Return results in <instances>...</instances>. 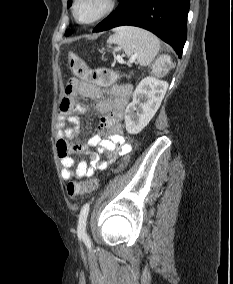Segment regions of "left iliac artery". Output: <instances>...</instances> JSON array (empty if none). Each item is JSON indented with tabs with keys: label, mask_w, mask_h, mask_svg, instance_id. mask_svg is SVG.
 Returning <instances> with one entry per match:
<instances>
[{
	"label": "left iliac artery",
	"mask_w": 233,
	"mask_h": 284,
	"mask_svg": "<svg viewBox=\"0 0 233 284\" xmlns=\"http://www.w3.org/2000/svg\"><path fill=\"white\" fill-rule=\"evenodd\" d=\"M89 208H90L89 203L84 204L83 207L81 208L78 220V227H77L78 237L82 238L86 244H90L89 237L86 234V222H87Z\"/></svg>",
	"instance_id": "obj_1"
}]
</instances>
